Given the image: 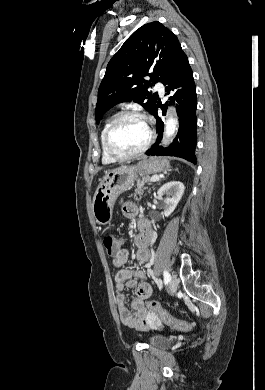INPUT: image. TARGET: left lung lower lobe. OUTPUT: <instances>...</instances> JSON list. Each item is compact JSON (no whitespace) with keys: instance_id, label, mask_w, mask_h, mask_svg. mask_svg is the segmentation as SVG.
Wrapping results in <instances>:
<instances>
[{"instance_id":"obj_1","label":"left lung lower lobe","mask_w":265,"mask_h":390,"mask_svg":"<svg viewBox=\"0 0 265 390\" xmlns=\"http://www.w3.org/2000/svg\"><path fill=\"white\" fill-rule=\"evenodd\" d=\"M163 84L166 86V95L172 91L171 101H176V109L179 117V130L173 143L167 148L159 146L163 134V122L159 118L157 110L161 107L159 103L152 115L157 121L158 137L153 146L146 151V155L151 156H175L186 159L196 164L195 146L196 135V87L193 79V72L184 52L176 60L170 74ZM167 104L164 105L163 115H165Z\"/></svg>"}]
</instances>
